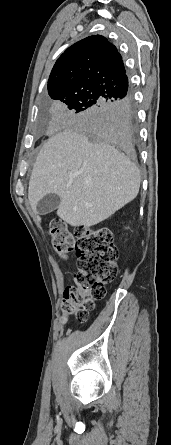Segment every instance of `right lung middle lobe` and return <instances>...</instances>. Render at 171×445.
<instances>
[{"instance_id":"dd1d6c3e","label":"right lung middle lobe","mask_w":171,"mask_h":445,"mask_svg":"<svg viewBox=\"0 0 171 445\" xmlns=\"http://www.w3.org/2000/svg\"><path fill=\"white\" fill-rule=\"evenodd\" d=\"M52 99L65 104L67 108L64 113L66 120L88 127L93 137H99L96 128V115L106 104L105 99L99 97L95 92L71 90Z\"/></svg>"}]
</instances>
